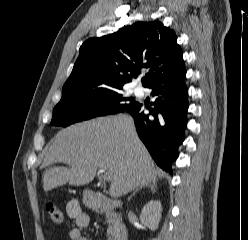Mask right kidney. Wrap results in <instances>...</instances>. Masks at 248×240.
<instances>
[{
	"label": "right kidney",
	"instance_id": "obj_1",
	"mask_svg": "<svg viewBox=\"0 0 248 240\" xmlns=\"http://www.w3.org/2000/svg\"><path fill=\"white\" fill-rule=\"evenodd\" d=\"M161 212V202L151 200L143 207L140 214V221L151 230H156L161 219Z\"/></svg>",
	"mask_w": 248,
	"mask_h": 240
}]
</instances>
